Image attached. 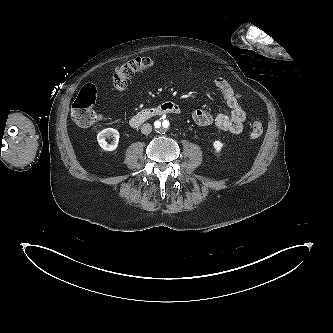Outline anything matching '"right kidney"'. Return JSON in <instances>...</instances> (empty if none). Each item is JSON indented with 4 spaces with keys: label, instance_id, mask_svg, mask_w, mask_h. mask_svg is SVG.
Listing matches in <instances>:
<instances>
[{
    "label": "right kidney",
    "instance_id": "right-kidney-1",
    "mask_svg": "<svg viewBox=\"0 0 333 333\" xmlns=\"http://www.w3.org/2000/svg\"><path fill=\"white\" fill-rule=\"evenodd\" d=\"M119 132L113 128H106L97 135V141L100 147L106 151H113L117 148L119 142ZM106 138H113L112 144H108Z\"/></svg>",
    "mask_w": 333,
    "mask_h": 333
}]
</instances>
